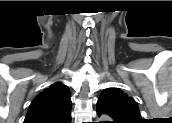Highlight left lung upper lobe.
Returning a JSON list of instances; mask_svg holds the SVG:
<instances>
[{
	"label": "left lung upper lobe",
	"instance_id": "obj_1",
	"mask_svg": "<svg viewBox=\"0 0 172 123\" xmlns=\"http://www.w3.org/2000/svg\"><path fill=\"white\" fill-rule=\"evenodd\" d=\"M97 113L108 114L112 123H141L135 100L117 88L105 89L97 102Z\"/></svg>",
	"mask_w": 172,
	"mask_h": 123
}]
</instances>
